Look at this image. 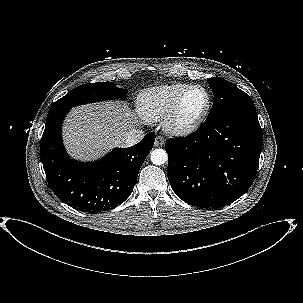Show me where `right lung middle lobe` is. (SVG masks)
<instances>
[{"mask_svg":"<svg viewBox=\"0 0 303 303\" xmlns=\"http://www.w3.org/2000/svg\"><path fill=\"white\" fill-rule=\"evenodd\" d=\"M126 90L116 87L111 82L88 83L74 88L68 94L52 104L50 110L70 109L81 104L110 100L124 99Z\"/></svg>","mask_w":303,"mask_h":303,"instance_id":"1","label":"right lung middle lobe"}]
</instances>
